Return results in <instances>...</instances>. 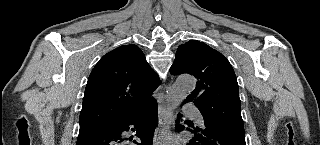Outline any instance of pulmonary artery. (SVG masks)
<instances>
[{
  "label": "pulmonary artery",
  "instance_id": "e3ab8cb5",
  "mask_svg": "<svg viewBox=\"0 0 320 145\" xmlns=\"http://www.w3.org/2000/svg\"><path fill=\"white\" fill-rule=\"evenodd\" d=\"M184 114L188 115V116H191L193 119H195L200 124L204 123V119H203L202 114L195 107H187L184 110Z\"/></svg>",
  "mask_w": 320,
  "mask_h": 145
}]
</instances>
